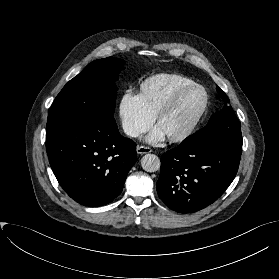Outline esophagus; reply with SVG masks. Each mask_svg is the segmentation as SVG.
Wrapping results in <instances>:
<instances>
[{
	"instance_id": "esophagus-1",
	"label": "esophagus",
	"mask_w": 279,
	"mask_h": 279,
	"mask_svg": "<svg viewBox=\"0 0 279 279\" xmlns=\"http://www.w3.org/2000/svg\"><path fill=\"white\" fill-rule=\"evenodd\" d=\"M136 150H137V153L141 154V155L150 153L152 151L151 148L146 147V146H137Z\"/></svg>"
}]
</instances>
